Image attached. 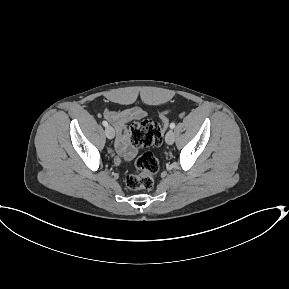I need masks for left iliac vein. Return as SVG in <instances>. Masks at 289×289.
Returning <instances> with one entry per match:
<instances>
[{
  "instance_id": "1",
  "label": "left iliac vein",
  "mask_w": 289,
  "mask_h": 289,
  "mask_svg": "<svg viewBox=\"0 0 289 289\" xmlns=\"http://www.w3.org/2000/svg\"><path fill=\"white\" fill-rule=\"evenodd\" d=\"M175 140V134L172 130H169L165 136V141L167 144L171 145L174 143Z\"/></svg>"
}]
</instances>
